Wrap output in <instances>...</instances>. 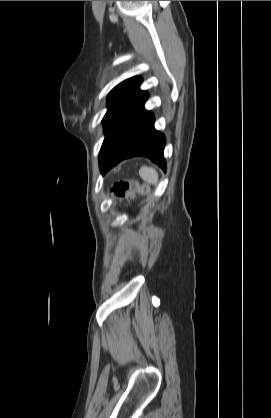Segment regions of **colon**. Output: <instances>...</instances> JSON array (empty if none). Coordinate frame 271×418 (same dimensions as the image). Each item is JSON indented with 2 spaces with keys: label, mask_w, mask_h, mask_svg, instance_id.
I'll list each match as a JSON object with an SVG mask.
<instances>
[{
  "label": "colon",
  "mask_w": 271,
  "mask_h": 418,
  "mask_svg": "<svg viewBox=\"0 0 271 418\" xmlns=\"http://www.w3.org/2000/svg\"><path fill=\"white\" fill-rule=\"evenodd\" d=\"M146 187L137 182H120L112 188V193L118 198H124L132 193H144Z\"/></svg>",
  "instance_id": "obj_1"
}]
</instances>
